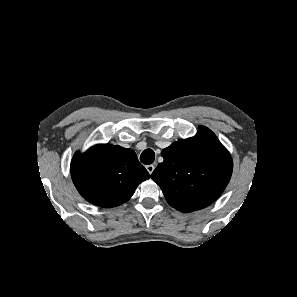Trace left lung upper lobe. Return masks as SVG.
I'll use <instances>...</instances> for the list:
<instances>
[{
    "mask_svg": "<svg viewBox=\"0 0 297 297\" xmlns=\"http://www.w3.org/2000/svg\"><path fill=\"white\" fill-rule=\"evenodd\" d=\"M151 178L167 202L181 212L203 209L213 203L230 181L233 161L216 135L200 126L196 136L178 140L161 153Z\"/></svg>",
    "mask_w": 297,
    "mask_h": 297,
    "instance_id": "5c2ea615",
    "label": "left lung upper lobe"
}]
</instances>
